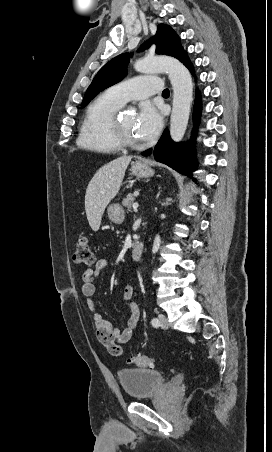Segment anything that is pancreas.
Instances as JSON below:
<instances>
[{
	"label": "pancreas",
	"mask_w": 272,
	"mask_h": 452,
	"mask_svg": "<svg viewBox=\"0 0 272 452\" xmlns=\"http://www.w3.org/2000/svg\"><path fill=\"white\" fill-rule=\"evenodd\" d=\"M135 202V195L134 194H128L126 198L123 199L122 205L127 208V211H130L131 207L133 206Z\"/></svg>",
	"instance_id": "obj_1"
}]
</instances>
